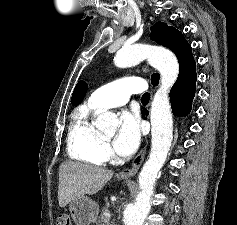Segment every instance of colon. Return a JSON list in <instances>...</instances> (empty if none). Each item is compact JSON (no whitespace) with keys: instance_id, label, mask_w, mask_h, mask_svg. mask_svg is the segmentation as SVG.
<instances>
[{"instance_id":"obj_1","label":"colon","mask_w":237,"mask_h":225,"mask_svg":"<svg viewBox=\"0 0 237 225\" xmlns=\"http://www.w3.org/2000/svg\"><path fill=\"white\" fill-rule=\"evenodd\" d=\"M56 225H73L68 215H60L57 218Z\"/></svg>"}]
</instances>
